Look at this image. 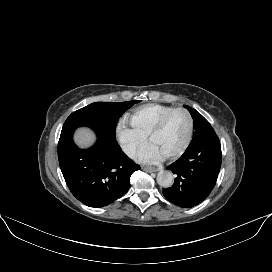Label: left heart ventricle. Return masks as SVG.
Instances as JSON below:
<instances>
[{
    "label": "left heart ventricle",
    "instance_id": "1",
    "mask_svg": "<svg viewBox=\"0 0 272 272\" xmlns=\"http://www.w3.org/2000/svg\"><path fill=\"white\" fill-rule=\"evenodd\" d=\"M188 134V119L182 112H176L169 117L163 128L156 133L151 142L154 143L163 155H168L186 140Z\"/></svg>",
    "mask_w": 272,
    "mask_h": 272
}]
</instances>
